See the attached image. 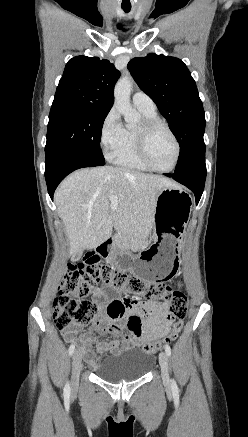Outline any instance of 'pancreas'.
<instances>
[{
  "label": "pancreas",
  "mask_w": 248,
  "mask_h": 437,
  "mask_svg": "<svg viewBox=\"0 0 248 437\" xmlns=\"http://www.w3.org/2000/svg\"><path fill=\"white\" fill-rule=\"evenodd\" d=\"M127 239H128V238H127L126 236H124V237L121 238V242H122V243H126Z\"/></svg>",
  "instance_id": "obj_1"
}]
</instances>
